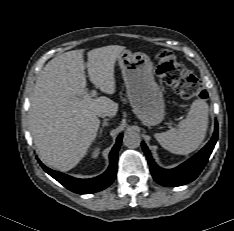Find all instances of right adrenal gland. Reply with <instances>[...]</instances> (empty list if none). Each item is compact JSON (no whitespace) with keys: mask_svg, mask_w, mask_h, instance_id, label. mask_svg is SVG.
Wrapping results in <instances>:
<instances>
[{"mask_svg":"<svg viewBox=\"0 0 234 231\" xmlns=\"http://www.w3.org/2000/svg\"><path fill=\"white\" fill-rule=\"evenodd\" d=\"M108 121H109V119L103 120L102 127H101L100 132H99L100 135L102 134L104 127L108 126Z\"/></svg>","mask_w":234,"mask_h":231,"instance_id":"1","label":"right adrenal gland"}]
</instances>
